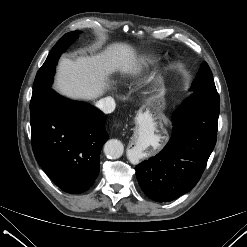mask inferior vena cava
<instances>
[{"mask_svg": "<svg viewBox=\"0 0 247 247\" xmlns=\"http://www.w3.org/2000/svg\"><path fill=\"white\" fill-rule=\"evenodd\" d=\"M115 101L112 97H105L96 102V107L103 113L109 114L115 110Z\"/></svg>", "mask_w": 247, "mask_h": 247, "instance_id": "602c4592", "label": "inferior vena cava"}]
</instances>
